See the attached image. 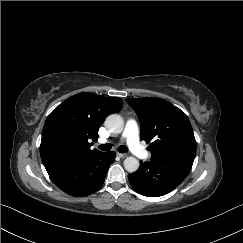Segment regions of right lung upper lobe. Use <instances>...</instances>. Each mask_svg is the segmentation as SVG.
<instances>
[{
    "label": "right lung upper lobe",
    "mask_w": 243,
    "mask_h": 243,
    "mask_svg": "<svg viewBox=\"0 0 243 243\" xmlns=\"http://www.w3.org/2000/svg\"><path fill=\"white\" fill-rule=\"evenodd\" d=\"M121 108L122 100L118 97L106 98L86 92L57 106L47 117L42 132L40 153L46 170L100 153L91 149V141H97L105 118Z\"/></svg>",
    "instance_id": "obj_1"
}]
</instances>
